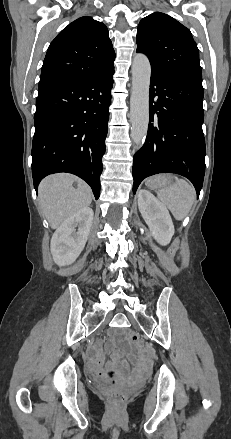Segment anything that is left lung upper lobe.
I'll list each match as a JSON object with an SVG mask.
<instances>
[{"mask_svg":"<svg viewBox=\"0 0 231 439\" xmlns=\"http://www.w3.org/2000/svg\"><path fill=\"white\" fill-rule=\"evenodd\" d=\"M137 52L150 60L152 72L202 79L199 50L188 28L164 13L143 18L137 29Z\"/></svg>","mask_w":231,"mask_h":439,"instance_id":"1","label":"left lung upper lobe"}]
</instances>
